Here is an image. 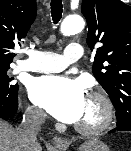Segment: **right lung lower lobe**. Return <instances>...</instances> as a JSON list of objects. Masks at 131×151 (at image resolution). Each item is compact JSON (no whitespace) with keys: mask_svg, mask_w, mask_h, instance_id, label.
<instances>
[{"mask_svg":"<svg viewBox=\"0 0 131 151\" xmlns=\"http://www.w3.org/2000/svg\"><path fill=\"white\" fill-rule=\"evenodd\" d=\"M18 90L12 95L0 93V118H7L18 109Z\"/></svg>","mask_w":131,"mask_h":151,"instance_id":"1","label":"right lung lower lobe"}]
</instances>
